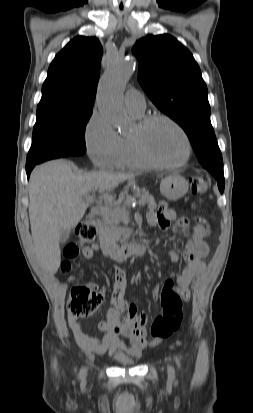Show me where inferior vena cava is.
Instances as JSON below:
<instances>
[{
	"label": "inferior vena cava",
	"mask_w": 253,
	"mask_h": 413,
	"mask_svg": "<svg viewBox=\"0 0 253 413\" xmlns=\"http://www.w3.org/2000/svg\"><path fill=\"white\" fill-rule=\"evenodd\" d=\"M111 237H112V239H113V240H115V236H114V234H111Z\"/></svg>",
	"instance_id": "inferior-vena-cava-1"
}]
</instances>
